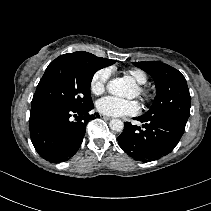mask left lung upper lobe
I'll use <instances>...</instances> for the list:
<instances>
[{
    "label": "left lung upper lobe",
    "mask_w": 211,
    "mask_h": 211,
    "mask_svg": "<svg viewBox=\"0 0 211 211\" xmlns=\"http://www.w3.org/2000/svg\"><path fill=\"white\" fill-rule=\"evenodd\" d=\"M136 67L152 76L156 97L144 116L164 115L186 125L190 115V94L182 73L159 61L134 62Z\"/></svg>",
    "instance_id": "5c2ea615"
}]
</instances>
